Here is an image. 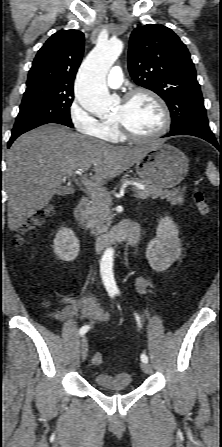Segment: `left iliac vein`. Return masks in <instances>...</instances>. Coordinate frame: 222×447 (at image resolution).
<instances>
[{"label":"left iliac vein","instance_id":"4c4485c4","mask_svg":"<svg viewBox=\"0 0 222 447\" xmlns=\"http://www.w3.org/2000/svg\"><path fill=\"white\" fill-rule=\"evenodd\" d=\"M140 367L146 374H150L152 372V367L148 362H141Z\"/></svg>","mask_w":222,"mask_h":447}]
</instances>
